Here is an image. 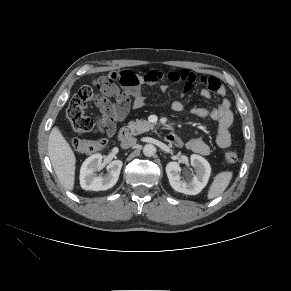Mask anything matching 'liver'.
Masks as SVG:
<instances>
[{"mask_svg": "<svg viewBox=\"0 0 291 291\" xmlns=\"http://www.w3.org/2000/svg\"><path fill=\"white\" fill-rule=\"evenodd\" d=\"M48 154L61 185L67 190H73L76 158L57 126L52 128L49 135Z\"/></svg>", "mask_w": 291, "mask_h": 291, "instance_id": "liver-1", "label": "liver"}]
</instances>
